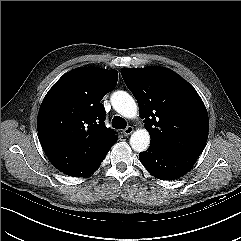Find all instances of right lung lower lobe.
Segmentation results:
<instances>
[{
	"label": "right lung lower lobe",
	"instance_id": "right-lung-lower-lobe-1",
	"mask_svg": "<svg viewBox=\"0 0 241 241\" xmlns=\"http://www.w3.org/2000/svg\"><path fill=\"white\" fill-rule=\"evenodd\" d=\"M106 154H103L102 156H100L99 158L95 159L94 161L75 168L69 172H66L65 174L70 175V176H74V177H87L90 176L100 165V163L103 161V159L106 157Z\"/></svg>",
	"mask_w": 241,
	"mask_h": 241
}]
</instances>
